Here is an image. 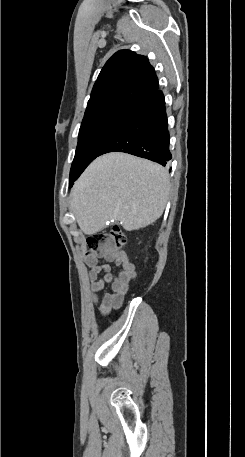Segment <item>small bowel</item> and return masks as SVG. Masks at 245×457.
Returning <instances> with one entry per match:
<instances>
[{
	"label": "small bowel",
	"mask_w": 245,
	"mask_h": 457,
	"mask_svg": "<svg viewBox=\"0 0 245 457\" xmlns=\"http://www.w3.org/2000/svg\"><path fill=\"white\" fill-rule=\"evenodd\" d=\"M102 258L107 263L101 264L97 255H89L85 258V264L90 268L88 280L92 301L102 315H109L122 306L130 284L136 280L137 273L134 263L124 251ZM109 263H114L119 268L117 275L112 273ZM107 286L110 287V291L104 293L103 297L99 299L98 293Z\"/></svg>",
	"instance_id": "c3829d8e"
}]
</instances>
